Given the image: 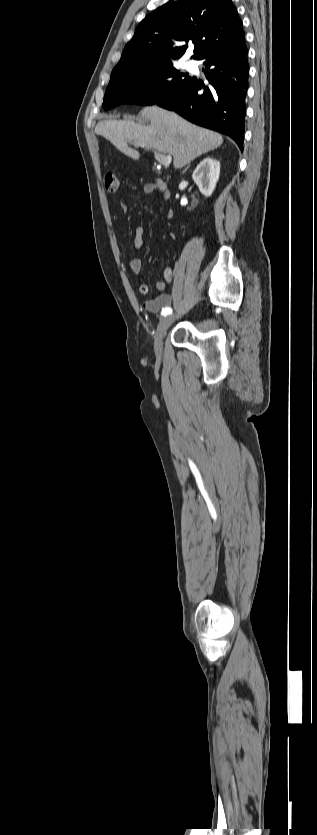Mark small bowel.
<instances>
[{
	"label": "small bowel",
	"mask_w": 317,
	"mask_h": 835,
	"mask_svg": "<svg viewBox=\"0 0 317 835\" xmlns=\"http://www.w3.org/2000/svg\"><path fill=\"white\" fill-rule=\"evenodd\" d=\"M145 191L147 193L152 191L151 186H146ZM121 209L123 212L127 211V205L121 204ZM167 216H172V211L167 212ZM144 226L139 225L135 230V237H134V247L136 250L141 249L143 246V235H144ZM129 267L134 274H139L141 270V261L137 258H132L129 261ZM173 280V269L171 266H167L163 272V278L156 283V289L159 292L157 297L154 299H149L143 302V308L150 313H158L162 312V310L166 307H169L172 303V297L170 294L165 292V289L168 285L171 284ZM139 293L142 295H146L149 292V288L146 284L141 283L139 285Z\"/></svg>",
	"instance_id": "obj_1"
}]
</instances>
